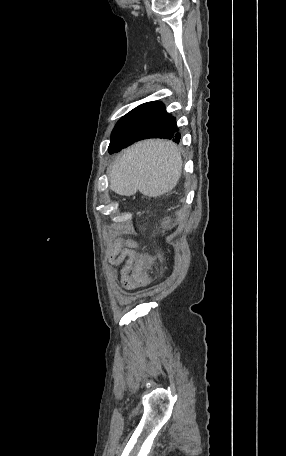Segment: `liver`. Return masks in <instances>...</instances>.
Listing matches in <instances>:
<instances>
[{"label":"liver","mask_w":286,"mask_h":456,"mask_svg":"<svg viewBox=\"0 0 286 456\" xmlns=\"http://www.w3.org/2000/svg\"><path fill=\"white\" fill-rule=\"evenodd\" d=\"M182 173L178 147L167 140H145L128 149L109 170L110 189L131 196L138 190L145 196L158 197L177 185Z\"/></svg>","instance_id":"liver-1"}]
</instances>
